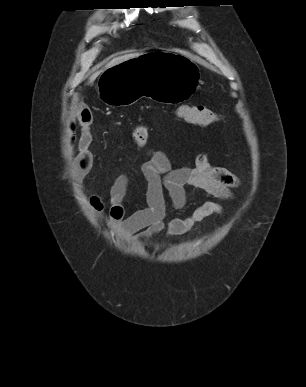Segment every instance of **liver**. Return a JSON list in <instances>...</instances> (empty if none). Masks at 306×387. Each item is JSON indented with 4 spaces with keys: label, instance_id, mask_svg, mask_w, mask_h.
Wrapping results in <instances>:
<instances>
[{
    "label": "liver",
    "instance_id": "obj_1",
    "mask_svg": "<svg viewBox=\"0 0 306 387\" xmlns=\"http://www.w3.org/2000/svg\"><path fill=\"white\" fill-rule=\"evenodd\" d=\"M141 56V54L139 53H133V54H126V55H123V56H119V57H116L114 59H112L107 65H106V68H111L113 66H116L120 63H123L125 61H128L130 59H134L136 57H139ZM98 73H95L94 75H92L89 79V82L92 83L95 78L97 77Z\"/></svg>",
    "mask_w": 306,
    "mask_h": 387
}]
</instances>
